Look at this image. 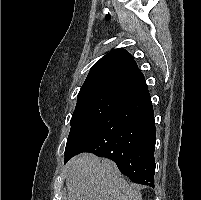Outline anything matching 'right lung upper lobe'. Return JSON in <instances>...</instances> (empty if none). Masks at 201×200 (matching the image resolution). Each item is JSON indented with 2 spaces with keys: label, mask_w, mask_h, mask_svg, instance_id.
<instances>
[{
  "label": "right lung upper lobe",
  "mask_w": 201,
  "mask_h": 200,
  "mask_svg": "<svg viewBox=\"0 0 201 200\" xmlns=\"http://www.w3.org/2000/svg\"><path fill=\"white\" fill-rule=\"evenodd\" d=\"M93 91H110L131 100L148 88L132 56L124 49H115L93 65L79 93Z\"/></svg>",
  "instance_id": "cb5924a9"
}]
</instances>
